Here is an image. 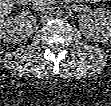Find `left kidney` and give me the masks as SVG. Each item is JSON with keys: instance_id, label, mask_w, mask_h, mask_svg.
Listing matches in <instances>:
<instances>
[{"instance_id": "left-kidney-1", "label": "left kidney", "mask_w": 111, "mask_h": 106, "mask_svg": "<svg viewBox=\"0 0 111 106\" xmlns=\"http://www.w3.org/2000/svg\"><path fill=\"white\" fill-rule=\"evenodd\" d=\"M93 15L95 18L94 25L90 24L87 19L79 21L84 36L95 42L111 40V11L105 8H97Z\"/></svg>"}]
</instances>
